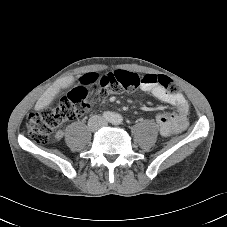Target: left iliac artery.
Returning a JSON list of instances; mask_svg holds the SVG:
<instances>
[{
    "label": "left iliac artery",
    "mask_w": 227,
    "mask_h": 227,
    "mask_svg": "<svg viewBox=\"0 0 227 227\" xmlns=\"http://www.w3.org/2000/svg\"><path fill=\"white\" fill-rule=\"evenodd\" d=\"M121 121H122L121 116H119V115H114V118H113V120H112V123H113V124H119V123H121Z\"/></svg>",
    "instance_id": "left-iliac-artery-1"
}]
</instances>
